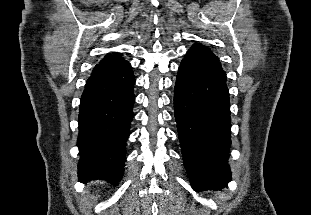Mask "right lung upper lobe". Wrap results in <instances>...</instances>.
I'll list each match as a JSON object with an SVG mask.
<instances>
[{"label":"right lung upper lobe","mask_w":311,"mask_h":215,"mask_svg":"<svg viewBox=\"0 0 311 215\" xmlns=\"http://www.w3.org/2000/svg\"><path fill=\"white\" fill-rule=\"evenodd\" d=\"M124 60V58L117 52L109 53L106 55L101 62H117Z\"/></svg>","instance_id":"right-lung-upper-lobe-1"}]
</instances>
